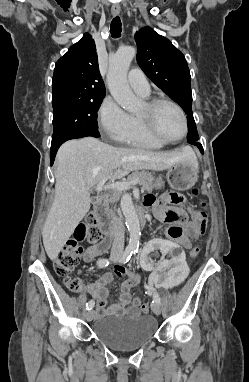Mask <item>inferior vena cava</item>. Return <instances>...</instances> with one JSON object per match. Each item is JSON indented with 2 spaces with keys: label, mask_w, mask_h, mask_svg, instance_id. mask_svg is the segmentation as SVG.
<instances>
[{
  "label": "inferior vena cava",
  "mask_w": 249,
  "mask_h": 382,
  "mask_svg": "<svg viewBox=\"0 0 249 382\" xmlns=\"http://www.w3.org/2000/svg\"><path fill=\"white\" fill-rule=\"evenodd\" d=\"M114 240L111 249L112 258H120L124 250L125 229L121 216L114 219Z\"/></svg>",
  "instance_id": "1"
}]
</instances>
